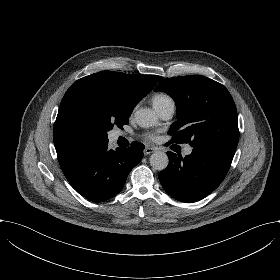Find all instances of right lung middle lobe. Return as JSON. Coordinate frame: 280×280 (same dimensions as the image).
Listing matches in <instances>:
<instances>
[{"instance_id": "obj_1", "label": "right lung middle lobe", "mask_w": 280, "mask_h": 280, "mask_svg": "<svg viewBox=\"0 0 280 280\" xmlns=\"http://www.w3.org/2000/svg\"><path fill=\"white\" fill-rule=\"evenodd\" d=\"M129 115H108L103 117L102 119V128L105 132V138L108 141L107 138V131L111 130L114 125H116L119 128H122L123 125H127L129 123Z\"/></svg>"}]
</instances>
